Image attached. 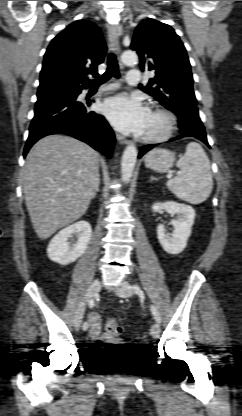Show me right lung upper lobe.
Instances as JSON below:
<instances>
[{
    "label": "right lung upper lobe",
    "mask_w": 242,
    "mask_h": 416,
    "mask_svg": "<svg viewBox=\"0 0 242 416\" xmlns=\"http://www.w3.org/2000/svg\"><path fill=\"white\" fill-rule=\"evenodd\" d=\"M106 51L104 38L94 23H71L47 48L37 96L87 88V75H98L97 66L104 61Z\"/></svg>",
    "instance_id": "cb5924a9"
}]
</instances>
